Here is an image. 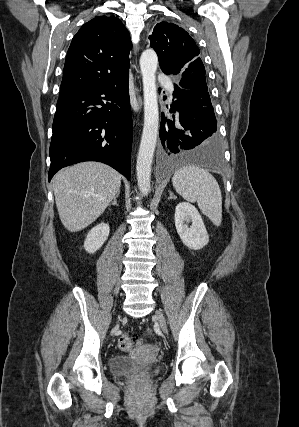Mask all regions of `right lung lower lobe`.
Instances as JSON below:
<instances>
[{
	"instance_id": "1",
	"label": "right lung lower lobe",
	"mask_w": 299,
	"mask_h": 427,
	"mask_svg": "<svg viewBox=\"0 0 299 427\" xmlns=\"http://www.w3.org/2000/svg\"><path fill=\"white\" fill-rule=\"evenodd\" d=\"M52 130L49 181L61 168L83 161L106 163L129 180L132 118L128 71L60 97Z\"/></svg>"
}]
</instances>
